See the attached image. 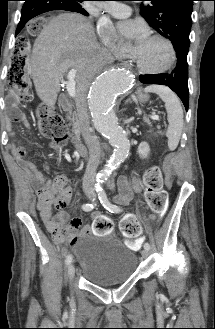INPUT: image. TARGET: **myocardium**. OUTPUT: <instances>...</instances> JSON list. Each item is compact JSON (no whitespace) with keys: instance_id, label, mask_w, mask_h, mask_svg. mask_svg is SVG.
I'll use <instances>...</instances> for the list:
<instances>
[{"instance_id":"obj_1","label":"myocardium","mask_w":215,"mask_h":329,"mask_svg":"<svg viewBox=\"0 0 215 329\" xmlns=\"http://www.w3.org/2000/svg\"><path fill=\"white\" fill-rule=\"evenodd\" d=\"M150 38L156 39V40H161L168 46V48L170 50V60H169L168 64L160 69H147L139 63V61L137 60V58L133 52L131 54V60L134 63V65L136 66V68L141 73H144L147 75H158V74L166 73L169 70H171L176 63V60H177L176 48H175L173 42L166 36H163L160 34H155V35H152Z\"/></svg>"}]
</instances>
